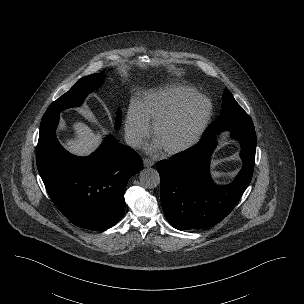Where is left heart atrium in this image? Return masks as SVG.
Listing matches in <instances>:
<instances>
[{
  "instance_id": "left-heart-atrium-1",
  "label": "left heart atrium",
  "mask_w": 304,
  "mask_h": 304,
  "mask_svg": "<svg viewBox=\"0 0 304 304\" xmlns=\"http://www.w3.org/2000/svg\"><path fill=\"white\" fill-rule=\"evenodd\" d=\"M161 149H162V147L160 146V144L157 141H155L154 144L151 146L152 151H159Z\"/></svg>"
}]
</instances>
